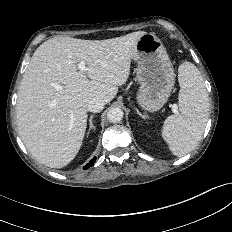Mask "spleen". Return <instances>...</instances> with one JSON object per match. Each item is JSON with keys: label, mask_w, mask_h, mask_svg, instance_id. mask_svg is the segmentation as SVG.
Listing matches in <instances>:
<instances>
[{"label": "spleen", "mask_w": 232, "mask_h": 232, "mask_svg": "<svg viewBox=\"0 0 232 232\" xmlns=\"http://www.w3.org/2000/svg\"><path fill=\"white\" fill-rule=\"evenodd\" d=\"M179 115L166 118L162 135L171 152L182 157L198 144L208 120V95L202 75L191 62L184 61L178 68Z\"/></svg>", "instance_id": "1"}]
</instances>
